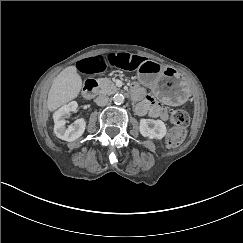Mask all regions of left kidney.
I'll return each instance as SVG.
<instances>
[{
  "label": "left kidney",
  "mask_w": 243,
  "mask_h": 243,
  "mask_svg": "<svg viewBox=\"0 0 243 243\" xmlns=\"http://www.w3.org/2000/svg\"><path fill=\"white\" fill-rule=\"evenodd\" d=\"M152 125V127H150ZM139 131L142 136L150 139H162L167 132L166 126L161 120L141 119Z\"/></svg>",
  "instance_id": "1"
}]
</instances>
